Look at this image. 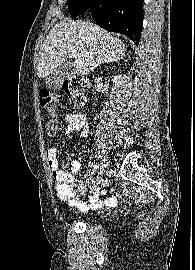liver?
Listing matches in <instances>:
<instances>
[{
	"label": "liver",
	"instance_id": "1",
	"mask_svg": "<svg viewBox=\"0 0 195 270\" xmlns=\"http://www.w3.org/2000/svg\"><path fill=\"white\" fill-rule=\"evenodd\" d=\"M70 50L78 55L73 63L74 73L85 75L101 63L122 59L126 52L123 42L91 22H60L46 36L40 51L37 75L48 77L65 63Z\"/></svg>",
	"mask_w": 195,
	"mask_h": 270
}]
</instances>
